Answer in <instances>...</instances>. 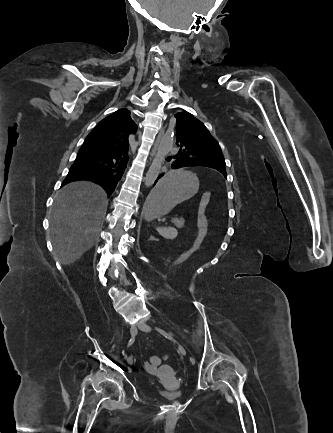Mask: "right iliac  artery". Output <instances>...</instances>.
I'll return each mask as SVG.
<instances>
[{
	"mask_svg": "<svg viewBox=\"0 0 333 433\" xmlns=\"http://www.w3.org/2000/svg\"><path fill=\"white\" fill-rule=\"evenodd\" d=\"M134 341H135V336H132V337L130 338L129 342H128V346H131V345L134 343ZM123 355H124V358H125V359H127V360L130 359V358H127V355H126L125 351H123Z\"/></svg>",
	"mask_w": 333,
	"mask_h": 433,
	"instance_id": "82829eb1",
	"label": "right iliac artery"
}]
</instances>
